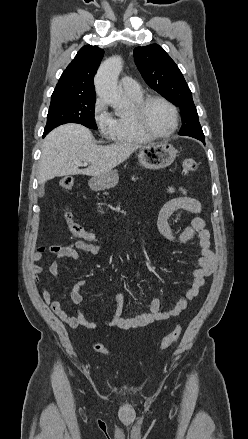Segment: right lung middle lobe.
Masks as SVG:
<instances>
[{
    "label": "right lung middle lobe",
    "instance_id": "obj_1",
    "mask_svg": "<svg viewBox=\"0 0 248 439\" xmlns=\"http://www.w3.org/2000/svg\"><path fill=\"white\" fill-rule=\"evenodd\" d=\"M94 96H57L51 98L44 135L65 123H79L97 129L94 120Z\"/></svg>",
    "mask_w": 248,
    "mask_h": 439
}]
</instances>
